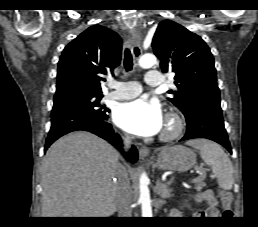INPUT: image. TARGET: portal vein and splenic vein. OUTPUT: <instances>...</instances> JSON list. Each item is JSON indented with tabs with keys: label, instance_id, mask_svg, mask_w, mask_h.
<instances>
[{
	"label": "portal vein and splenic vein",
	"instance_id": "obj_1",
	"mask_svg": "<svg viewBox=\"0 0 258 227\" xmlns=\"http://www.w3.org/2000/svg\"><path fill=\"white\" fill-rule=\"evenodd\" d=\"M199 173H200V174H202V172H201L200 170H199ZM197 180H198V178L193 179V180H192V182H193V183H196V182H197Z\"/></svg>",
	"mask_w": 258,
	"mask_h": 227
}]
</instances>
